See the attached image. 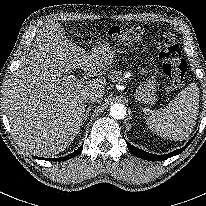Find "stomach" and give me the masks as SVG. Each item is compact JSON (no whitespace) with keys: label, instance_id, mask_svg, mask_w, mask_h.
<instances>
[{"label":"stomach","instance_id":"obj_1","mask_svg":"<svg viewBox=\"0 0 206 206\" xmlns=\"http://www.w3.org/2000/svg\"><path fill=\"white\" fill-rule=\"evenodd\" d=\"M97 47H100L106 54L107 61L111 62L113 56L116 54V50L108 40H103ZM157 79L155 76H151L142 81L136 89V100L140 104H153L156 101L157 93Z\"/></svg>","mask_w":206,"mask_h":206}]
</instances>
